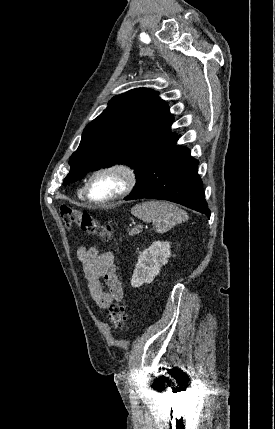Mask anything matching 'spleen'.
<instances>
[{
  "mask_svg": "<svg viewBox=\"0 0 275 429\" xmlns=\"http://www.w3.org/2000/svg\"><path fill=\"white\" fill-rule=\"evenodd\" d=\"M131 213L144 222H152L158 233H166L188 220L187 213L169 202L148 201L132 207Z\"/></svg>",
  "mask_w": 275,
  "mask_h": 429,
  "instance_id": "1",
  "label": "spleen"
}]
</instances>
